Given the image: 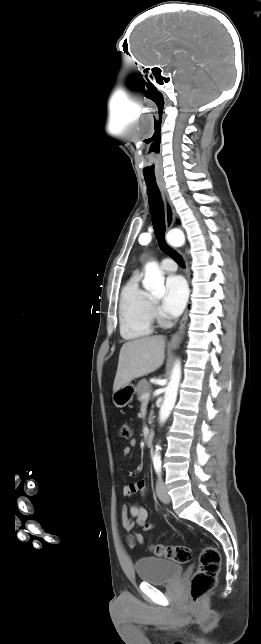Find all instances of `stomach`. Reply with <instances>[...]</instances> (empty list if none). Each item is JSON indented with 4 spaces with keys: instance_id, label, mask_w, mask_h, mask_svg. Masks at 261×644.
<instances>
[{
    "instance_id": "stomach-1",
    "label": "stomach",
    "mask_w": 261,
    "mask_h": 644,
    "mask_svg": "<svg viewBox=\"0 0 261 644\" xmlns=\"http://www.w3.org/2000/svg\"><path fill=\"white\" fill-rule=\"evenodd\" d=\"M136 393V387L132 383H128L112 395L113 403L118 408H123L133 401Z\"/></svg>"
}]
</instances>
